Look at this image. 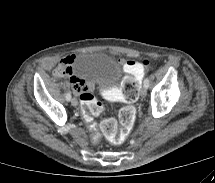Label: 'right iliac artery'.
<instances>
[{
	"instance_id": "right-iliac-artery-1",
	"label": "right iliac artery",
	"mask_w": 215,
	"mask_h": 183,
	"mask_svg": "<svg viewBox=\"0 0 215 183\" xmlns=\"http://www.w3.org/2000/svg\"><path fill=\"white\" fill-rule=\"evenodd\" d=\"M66 100H67V101H70V100H71V94H70V93H67V94H66Z\"/></svg>"
}]
</instances>
